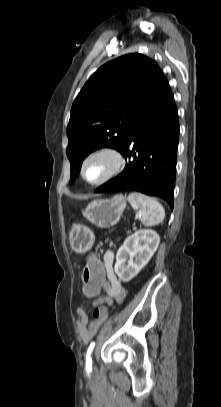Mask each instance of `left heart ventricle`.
<instances>
[{
  "label": "left heart ventricle",
  "mask_w": 221,
  "mask_h": 407,
  "mask_svg": "<svg viewBox=\"0 0 221 407\" xmlns=\"http://www.w3.org/2000/svg\"><path fill=\"white\" fill-rule=\"evenodd\" d=\"M113 167L112 159L107 155L92 158L85 166L84 174L89 181L102 179Z\"/></svg>",
  "instance_id": "1"
}]
</instances>
